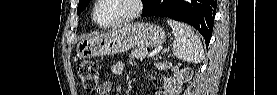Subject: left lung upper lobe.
Segmentation results:
<instances>
[{"label":"left lung upper lobe","instance_id":"obj_1","mask_svg":"<svg viewBox=\"0 0 277 95\" xmlns=\"http://www.w3.org/2000/svg\"><path fill=\"white\" fill-rule=\"evenodd\" d=\"M151 2V0H146V4L144 5V8ZM89 0H79V5L77 8V13L80 14L88 5Z\"/></svg>","mask_w":277,"mask_h":95}]
</instances>
